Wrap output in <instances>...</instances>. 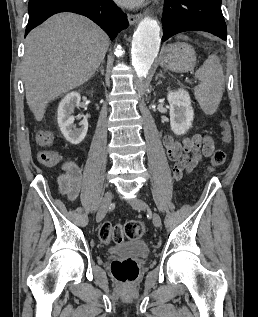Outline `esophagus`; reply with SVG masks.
Wrapping results in <instances>:
<instances>
[{
	"instance_id": "obj_1",
	"label": "esophagus",
	"mask_w": 258,
	"mask_h": 317,
	"mask_svg": "<svg viewBox=\"0 0 258 317\" xmlns=\"http://www.w3.org/2000/svg\"><path fill=\"white\" fill-rule=\"evenodd\" d=\"M140 19H141L140 13H137L135 15H128V21L130 25H134L135 23L139 22Z\"/></svg>"
}]
</instances>
